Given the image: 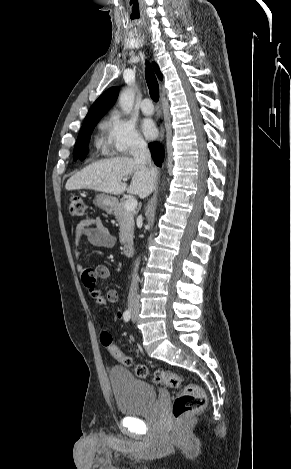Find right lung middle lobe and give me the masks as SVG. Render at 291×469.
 <instances>
[{
    "instance_id": "1",
    "label": "right lung middle lobe",
    "mask_w": 291,
    "mask_h": 469,
    "mask_svg": "<svg viewBox=\"0 0 291 469\" xmlns=\"http://www.w3.org/2000/svg\"><path fill=\"white\" fill-rule=\"evenodd\" d=\"M100 118H94V119H85L83 122V125L81 127V130L79 132L74 152H73V158L74 160L80 159L84 160L88 154V140L90 138L91 132L93 131L94 127L98 123Z\"/></svg>"
}]
</instances>
